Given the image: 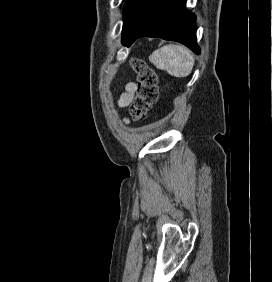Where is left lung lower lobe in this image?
<instances>
[{
  "label": "left lung lower lobe",
  "mask_w": 272,
  "mask_h": 282,
  "mask_svg": "<svg viewBox=\"0 0 272 282\" xmlns=\"http://www.w3.org/2000/svg\"><path fill=\"white\" fill-rule=\"evenodd\" d=\"M186 0H127L124 6L122 43L130 46L139 37L178 41L199 54L193 13Z\"/></svg>",
  "instance_id": "left-lung-lower-lobe-1"
}]
</instances>
